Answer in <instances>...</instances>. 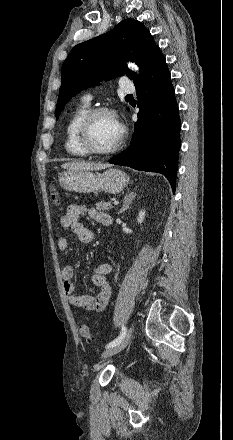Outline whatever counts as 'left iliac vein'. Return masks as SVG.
I'll use <instances>...</instances> for the list:
<instances>
[{"label": "left iliac vein", "mask_w": 233, "mask_h": 440, "mask_svg": "<svg viewBox=\"0 0 233 440\" xmlns=\"http://www.w3.org/2000/svg\"><path fill=\"white\" fill-rule=\"evenodd\" d=\"M132 332H133V328L129 327V329L126 331L125 337L115 346L108 348L107 350H105L102 355L101 358L105 359L108 357H111L117 353H119L120 351H122L129 343L131 336H132Z\"/></svg>", "instance_id": "4c4485c4"}]
</instances>
